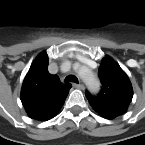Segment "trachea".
Returning a JSON list of instances; mask_svg holds the SVG:
<instances>
[{
  "instance_id": "trachea-1",
  "label": "trachea",
  "mask_w": 145,
  "mask_h": 145,
  "mask_svg": "<svg viewBox=\"0 0 145 145\" xmlns=\"http://www.w3.org/2000/svg\"><path fill=\"white\" fill-rule=\"evenodd\" d=\"M65 82H75V83H79L77 77L74 76V75L67 76L65 78Z\"/></svg>"
}]
</instances>
